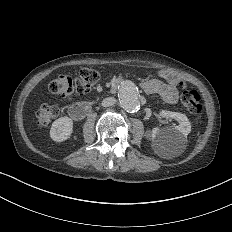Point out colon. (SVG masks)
I'll return each mask as SVG.
<instances>
[{
    "mask_svg": "<svg viewBox=\"0 0 232 232\" xmlns=\"http://www.w3.org/2000/svg\"><path fill=\"white\" fill-rule=\"evenodd\" d=\"M79 74H55V79L50 81V93H64L70 95L73 91L84 94L93 88V83L99 79V73L93 68H77ZM199 91L195 87H189L183 94V102H179V107H188L192 114H199L203 111V106L199 101ZM37 127L41 131H48L51 117H59L61 108L47 106V102H42V106L37 108Z\"/></svg>",
    "mask_w": 232,
    "mask_h": 232,
    "instance_id": "colon-1",
    "label": "colon"
}]
</instances>
